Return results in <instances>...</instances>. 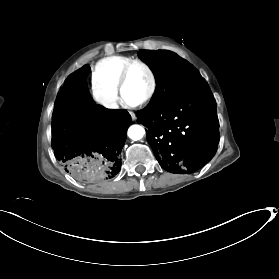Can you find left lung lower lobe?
Here are the masks:
<instances>
[{"instance_id": "0a47b994", "label": "left lung lower lobe", "mask_w": 279, "mask_h": 279, "mask_svg": "<svg viewBox=\"0 0 279 279\" xmlns=\"http://www.w3.org/2000/svg\"><path fill=\"white\" fill-rule=\"evenodd\" d=\"M147 140L163 169L192 173L208 163L219 142L216 102L206 82L152 112H137Z\"/></svg>"}]
</instances>
